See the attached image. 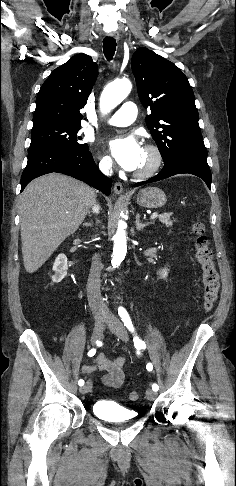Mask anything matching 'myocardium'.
<instances>
[{
    "label": "myocardium",
    "instance_id": "obj_1",
    "mask_svg": "<svg viewBox=\"0 0 236 486\" xmlns=\"http://www.w3.org/2000/svg\"><path fill=\"white\" fill-rule=\"evenodd\" d=\"M144 150L150 154L151 163L146 169L135 171L133 174L135 178L141 180L153 177L159 171L163 162L162 153L156 145L147 144L144 146Z\"/></svg>",
    "mask_w": 236,
    "mask_h": 486
}]
</instances>
